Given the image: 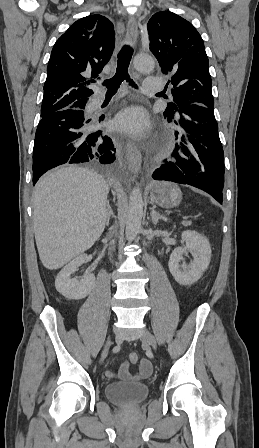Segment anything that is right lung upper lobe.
<instances>
[{
	"label": "right lung upper lobe",
	"mask_w": 259,
	"mask_h": 448,
	"mask_svg": "<svg viewBox=\"0 0 259 448\" xmlns=\"http://www.w3.org/2000/svg\"><path fill=\"white\" fill-rule=\"evenodd\" d=\"M114 45V25L106 17L93 14L74 22L53 46L41 116L86 104L94 94L90 83L100 79L98 74L108 63Z\"/></svg>",
	"instance_id": "1"
}]
</instances>
